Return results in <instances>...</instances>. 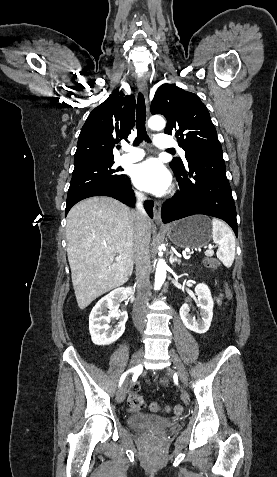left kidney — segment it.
<instances>
[{
  "mask_svg": "<svg viewBox=\"0 0 277 477\" xmlns=\"http://www.w3.org/2000/svg\"><path fill=\"white\" fill-rule=\"evenodd\" d=\"M195 292L198 296V307H200L201 319L195 320L190 314V308L187 303H184L180 308V318L184 326L199 334H203L209 330L213 317L214 302L211 296L210 289L204 283L196 286Z\"/></svg>",
  "mask_w": 277,
  "mask_h": 477,
  "instance_id": "1",
  "label": "left kidney"
}]
</instances>
